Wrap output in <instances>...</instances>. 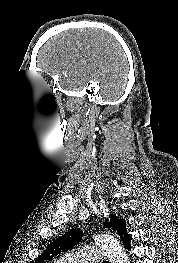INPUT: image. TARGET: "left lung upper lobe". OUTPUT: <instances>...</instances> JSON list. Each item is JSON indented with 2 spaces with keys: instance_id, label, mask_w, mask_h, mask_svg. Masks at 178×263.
<instances>
[{
  "instance_id": "1",
  "label": "left lung upper lobe",
  "mask_w": 178,
  "mask_h": 263,
  "mask_svg": "<svg viewBox=\"0 0 178 263\" xmlns=\"http://www.w3.org/2000/svg\"><path fill=\"white\" fill-rule=\"evenodd\" d=\"M125 223L124 219L112 216L110 222L107 220L105 221L104 227H110L119 234ZM81 239L82 232L80 229H72L66 232L64 235L51 242L35 263H45L47 260H51L60 253L71 249L74 245L81 241Z\"/></svg>"
}]
</instances>
